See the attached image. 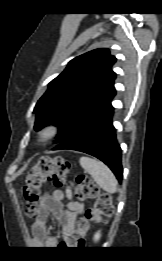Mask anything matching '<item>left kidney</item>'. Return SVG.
<instances>
[{
  "label": "left kidney",
  "instance_id": "5707ae66",
  "mask_svg": "<svg viewBox=\"0 0 162 261\" xmlns=\"http://www.w3.org/2000/svg\"><path fill=\"white\" fill-rule=\"evenodd\" d=\"M100 237H101L100 232H97V233L94 235V240H95V241H98V240L100 239Z\"/></svg>",
  "mask_w": 162,
  "mask_h": 261
}]
</instances>
